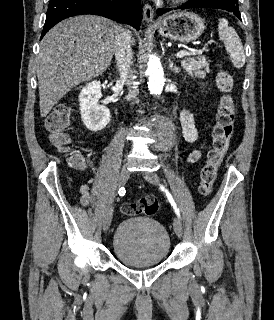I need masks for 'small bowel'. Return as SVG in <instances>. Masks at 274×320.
I'll use <instances>...</instances> for the list:
<instances>
[{
  "mask_svg": "<svg viewBox=\"0 0 274 320\" xmlns=\"http://www.w3.org/2000/svg\"><path fill=\"white\" fill-rule=\"evenodd\" d=\"M181 124L183 129V135L186 142L192 144L195 143L198 139V131L195 126L193 115L190 111L185 110L181 115ZM201 153L199 150H193L187 159L189 164H193L199 160ZM71 161H85L86 167L88 165V159L82 154H76L72 157ZM85 168H76L78 170H85ZM81 205L87 206L90 202V187L88 184H83L80 186V199Z\"/></svg>",
  "mask_w": 274,
  "mask_h": 320,
  "instance_id": "1",
  "label": "small bowel"
}]
</instances>
